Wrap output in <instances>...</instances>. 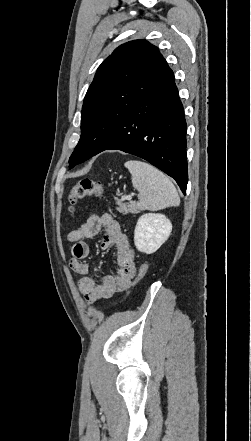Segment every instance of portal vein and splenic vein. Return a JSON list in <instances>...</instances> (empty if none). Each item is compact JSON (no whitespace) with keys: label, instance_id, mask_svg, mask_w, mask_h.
Segmentation results:
<instances>
[{"label":"portal vein and splenic vein","instance_id":"18ae733b","mask_svg":"<svg viewBox=\"0 0 251 441\" xmlns=\"http://www.w3.org/2000/svg\"><path fill=\"white\" fill-rule=\"evenodd\" d=\"M131 198H132V195H127V196H126V199H127V200H131Z\"/></svg>","mask_w":251,"mask_h":441}]
</instances>
